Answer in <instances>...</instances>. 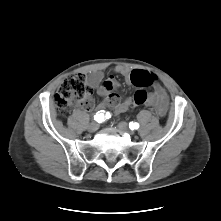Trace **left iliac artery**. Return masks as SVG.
Segmentation results:
<instances>
[{
    "instance_id": "1",
    "label": "left iliac artery",
    "mask_w": 221,
    "mask_h": 221,
    "mask_svg": "<svg viewBox=\"0 0 221 221\" xmlns=\"http://www.w3.org/2000/svg\"><path fill=\"white\" fill-rule=\"evenodd\" d=\"M129 128L131 130L138 129L139 128V124L137 122H134V123L131 122V123H129Z\"/></svg>"
}]
</instances>
